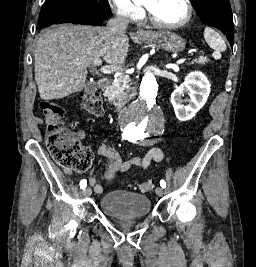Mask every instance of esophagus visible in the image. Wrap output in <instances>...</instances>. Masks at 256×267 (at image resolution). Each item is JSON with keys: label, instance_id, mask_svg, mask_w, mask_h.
Returning a JSON list of instances; mask_svg holds the SVG:
<instances>
[{"label": "esophagus", "instance_id": "esophagus-1", "mask_svg": "<svg viewBox=\"0 0 256 267\" xmlns=\"http://www.w3.org/2000/svg\"><path fill=\"white\" fill-rule=\"evenodd\" d=\"M152 34L150 32H146L144 30H138L136 33L137 37H145V36H151Z\"/></svg>", "mask_w": 256, "mask_h": 267}]
</instances>
